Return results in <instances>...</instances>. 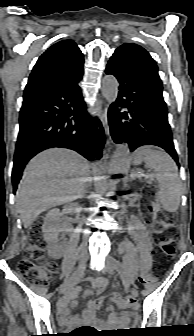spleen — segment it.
Instances as JSON below:
<instances>
[{
    "label": "spleen",
    "instance_id": "3e777b00",
    "mask_svg": "<svg viewBox=\"0 0 194 336\" xmlns=\"http://www.w3.org/2000/svg\"><path fill=\"white\" fill-rule=\"evenodd\" d=\"M143 161L156 172L159 184L157 200L166 211L176 212L182 193V184L176 164L166 152L154 150L150 146L141 147L136 152L134 163L139 165Z\"/></svg>",
    "mask_w": 194,
    "mask_h": 336
}]
</instances>
